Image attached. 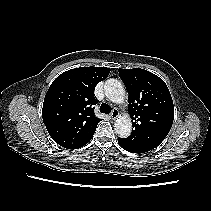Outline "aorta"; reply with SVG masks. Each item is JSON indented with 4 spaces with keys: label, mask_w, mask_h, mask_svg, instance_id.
<instances>
[{
    "label": "aorta",
    "mask_w": 211,
    "mask_h": 211,
    "mask_svg": "<svg viewBox=\"0 0 211 211\" xmlns=\"http://www.w3.org/2000/svg\"><path fill=\"white\" fill-rule=\"evenodd\" d=\"M106 97L113 103L121 104L125 100V88L123 84L116 79H108L104 85ZM114 130L121 138H127L132 131V123L129 115H124L116 119Z\"/></svg>",
    "instance_id": "762f6f07"
}]
</instances>
